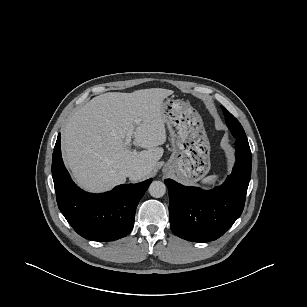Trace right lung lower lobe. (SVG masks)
<instances>
[{
  "label": "right lung lower lobe",
  "instance_id": "obj_1",
  "mask_svg": "<svg viewBox=\"0 0 307 307\" xmlns=\"http://www.w3.org/2000/svg\"><path fill=\"white\" fill-rule=\"evenodd\" d=\"M60 139L59 135L54 147L52 176L57 204L66 220L79 235L94 241H113L129 234L136 207L152 179L119 185L102 194L84 192L63 164Z\"/></svg>",
  "mask_w": 307,
  "mask_h": 307
}]
</instances>
